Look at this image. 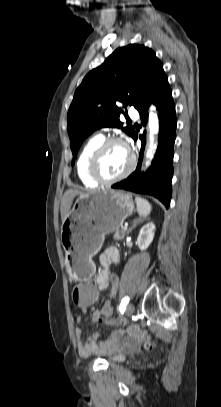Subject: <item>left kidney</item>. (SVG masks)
Returning <instances> with one entry per match:
<instances>
[{
	"label": "left kidney",
	"instance_id": "obj_1",
	"mask_svg": "<svg viewBox=\"0 0 221 407\" xmlns=\"http://www.w3.org/2000/svg\"><path fill=\"white\" fill-rule=\"evenodd\" d=\"M155 229L153 222H149L141 228L137 238V245L140 250H146L149 247L153 241Z\"/></svg>",
	"mask_w": 221,
	"mask_h": 407
}]
</instances>
